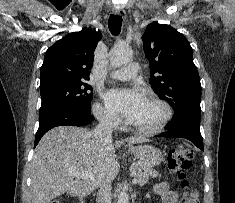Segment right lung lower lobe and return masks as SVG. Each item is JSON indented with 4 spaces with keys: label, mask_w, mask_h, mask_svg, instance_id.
<instances>
[{
    "label": "right lung lower lobe",
    "mask_w": 235,
    "mask_h": 203,
    "mask_svg": "<svg viewBox=\"0 0 235 203\" xmlns=\"http://www.w3.org/2000/svg\"><path fill=\"white\" fill-rule=\"evenodd\" d=\"M94 121L90 110H83L74 107H61L39 115V128L35 137L34 147L41 137L50 129L56 126H85Z\"/></svg>",
    "instance_id": "98d812e1"
}]
</instances>
